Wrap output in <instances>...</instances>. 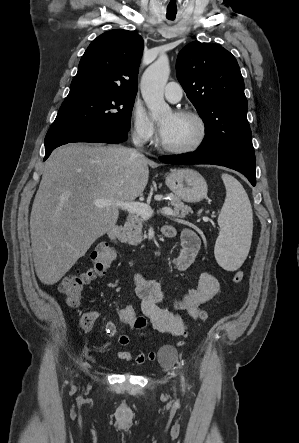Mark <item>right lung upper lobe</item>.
Returning <instances> with one entry per match:
<instances>
[{"mask_svg":"<svg viewBox=\"0 0 299 443\" xmlns=\"http://www.w3.org/2000/svg\"><path fill=\"white\" fill-rule=\"evenodd\" d=\"M143 39L134 31L110 30L91 42L70 89L97 88L136 95Z\"/></svg>","mask_w":299,"mask_h":443,"instance_id":"obj_1","label":"right lung upper lobe"}]
</instances>
